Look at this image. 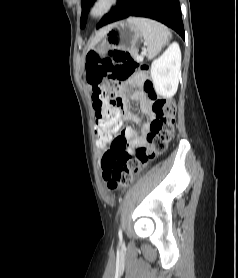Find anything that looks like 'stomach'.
I'll use <instances>...</instances> for the list:
<instances>
[{"instance_id":"obj_1","label":"stomach","mask_w":238,"mask_h":278,"mask_svg":"<svg viewBox=\"0 0 238 278\" xmlns=\"http://www.w3.org/2000/svg\"><path fill=\"white\" fill-rule=\"evenodd\" d=\"M141 37L142 33L135 24L128 20L115 22L107 27L105 35L94 50L100 58H105L112 49H135Z\"/></svg>"}]
</instances>
